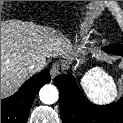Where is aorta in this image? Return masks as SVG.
Here are the masks:
<instances>
[{
    "label": "aorta",
    "mask_w": 123,
    "mask_h": 123,
    "mask_svg": "<svg viewBox=\"0 0 123 123\" xmlns=\"http://www.w3.org/2000/svg\"><path fill=\"white\" fill-rule=\"evenodd\" d=\"M39 97L44 104H53L58 100V90L53 85H45L39 91Z\"/></svg>",
    "instance_id": "762f6f07"
}]
</instances>
